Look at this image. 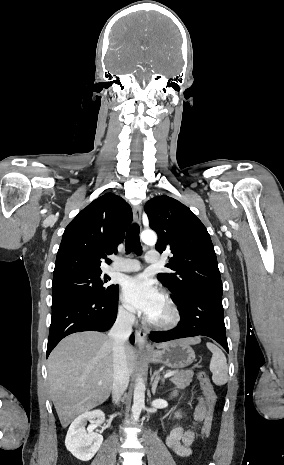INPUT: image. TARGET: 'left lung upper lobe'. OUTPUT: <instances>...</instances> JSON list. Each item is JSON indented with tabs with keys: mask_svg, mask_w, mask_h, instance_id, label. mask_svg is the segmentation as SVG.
<instances>
[{
	"mask_svg": "<svg viewBox=\"0 0 284 465\" xmlns=\"http://www.w3.org/2000/svg\"><path fill=\"white\" fill-rule=\"evenodd\" d=\"M150 227L158 234L160 253L171 251L166 267L175 273H159L158 279L178 300L192 292L222 296L223 288L210 235L197 216L185 205L166 195L145 204Z\"/></svg>",
	"mask_w": 284,
	"mask_h": 465,
	"instance_id": "5c2ea615",
	"label": "left lung upper lobe"
}]
</instances>
